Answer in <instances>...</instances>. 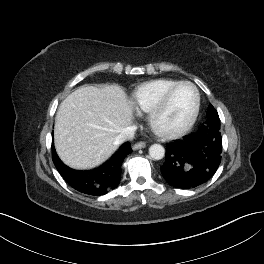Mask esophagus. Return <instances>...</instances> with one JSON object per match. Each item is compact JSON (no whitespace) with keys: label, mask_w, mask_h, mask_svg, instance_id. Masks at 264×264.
Masks as SVG:
<instances>
[{"label":"esophagus","mask_w":264,"mask_h":264,"mask_svg":"<svg viewBox=\"0 0 264 264\" xmlns=\"http://www.w3.org/2000/svg\"><path fill=\"white\" fill-rule=\"evenodd\" d=\"M145 146H146L145 142H137L136 144L133 145V150L142 149Z\"/></svg>","instance_id":"34e87169"}]
</instances>
